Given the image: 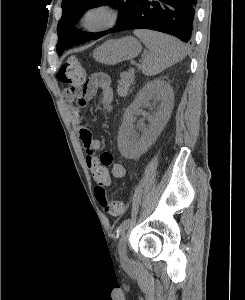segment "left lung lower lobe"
I'll return each instance as SVG.
<instances>
[{
    "label": "left lung lower lobe",
    "mask_w": 245,
    "mask_h": 300,
    "mask_svg": "<svg viewBox=\"0 0 245 300\" xmlns=\"http://www.w3.org/2000/svg\"><path fill=\"white\" fill-rule=\"evenodd\" d=\"M196 3L197 0H135L127 18L104 35L130 29H151L191 43Z\"/></svg>",
    "instance_id": "obj_1"
}]
</instances>
